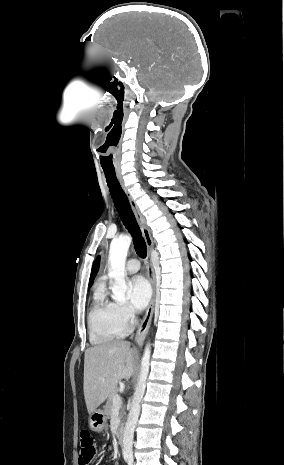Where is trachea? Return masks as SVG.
<instances>
[{
	"instance_id": "trachea-1",
	"label": "trachea",
	"mask_w": 284,
	"mask_h": 465,
	"mask_svg": "<svg viewBox=\"0 0 284 465\" xmlns=\"http://www.w3.org/2000/svg\"><path fill=\"white\" fill-rule=\"evenodd\" d=\"M106 177V181L109 187L110 194L115 204L116 210L121 218L123 225L127 228L129 233L132 235L134 248L136 253L145 258L147 255V247L144 238L142 237L139 225L136 222L135 216L132 212V208L128 201L126 194L119 181L114 169H103Z\"/></svg>"
}]
</instances>
